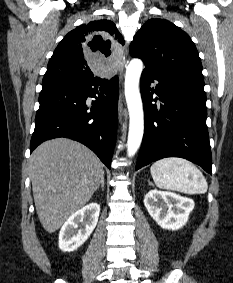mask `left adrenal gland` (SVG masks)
I'll return each mask as SVG.
<instances>
[{
  "label": "left adrenal gland",
  "mask_w": 233,
  "mask_h": 283,
  "mask_svg": "<svg viewBox=\"0 0 233 283\" xmlns=\"http://www.w3.org/2000/svg\"><path fill=\"white\" fill-rule=\"evenodd\" d=\"M149 185H151V182L148 180Z\"/></svg>",
  "instance_id": "1"
}]
</instances>
